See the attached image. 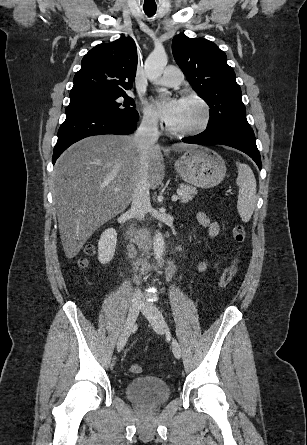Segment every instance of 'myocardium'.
<instances>
[{"instance_id":"myocardium-1","label":"myocardium","mask_w":307,"mask_h":445,"mask_svg":"<svg viewBox=\"0 0 307 445\" xmlns=\"http://www.w3.org/2000/svg\"><path fill=\"white\" fill-rule=\"evenodd\" d=\"M182 100L192 101V102L196 103L201 108L203 117H202L201 121L193 127L182 129V130H176V129L171 128L170 125L168 124L167 130L171 134L180 135L183 137L195 136V135L201 134L202 132L207 130L213 120V111H212V108L209 105V103L204 98H202L200 95L193 94V93L185 94L183 96Z\"/></svg>"}]
</instances>
